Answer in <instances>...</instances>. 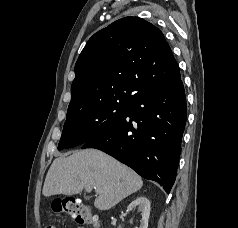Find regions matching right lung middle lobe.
Here are the masks:
<instances>
[{
    "label": "right lung middle lobe",
    "mask_w": 238,
    "mask_h": 228,
    "mask_svg": "<svg viewBox=\"0 0 238 228\" xmlns=\"http://www.w3.org/2000/svg\"><path fill=\"white\" fill-rule=\"evenodd\" d=\"M128 102H101L67 114L58 150L84 144L117 123Z\"/></svg>",
    "instance_id": "1"
}]
</instances>
